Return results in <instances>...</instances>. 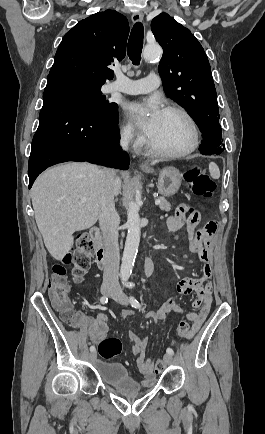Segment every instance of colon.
Returning a JSON list of instances; mask_svg holds the SVG:
<instances>
[{
	"instance_id": "colon-1",
	"label": "colon",
	"mask_w": 265,
	"mask_h": 434,
	"mask_svg": "<svg viewBox=\"0 0 265 434\" xmlns=\"http://www.w3.org/2000/svg\"><path fill=\"white\" fill-rule=\"evenodd\" d=\"M185 179L189 191L197 196L211 198L216 191V184L209 174L205 173L198 167H192L185 173ZM80 248H84L81 245ZM73 261V274L76 280H82L86 275L91 265V255L83 251L75 253H68L64 261L53 265L49 278L47 280V287L50 299L54 306L61 313L59 319L61 322H72L74 319L70 304L66 298L68 285L66 281V274L68 265ZM192 333L191 320H183L179 324L178 336L180 338L188 339ZM122 350V343L118 338L104 339L99 343V354L105 360H112L118 356ZM164 368L162 358L156 364L158 372Z\"/></svg>"
}]
</instances>
